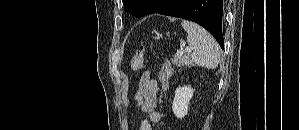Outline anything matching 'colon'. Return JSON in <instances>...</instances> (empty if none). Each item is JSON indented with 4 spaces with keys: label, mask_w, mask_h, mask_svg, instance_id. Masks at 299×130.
<instances>
[{
    "label": "colon",
    "mask_w": 299,
    "mask_h": 130,
    "mask_svg": "<svg viewBox=\"0 0 299 130\" xmlns=\"http://www.w3.org/2000/svg\"><path fill=\"white\" fill-rule=\"evenodd\" d=\"M148 49H149L148 45H142L138 49L136 54L132 57L131 68L134 71L141 69V67L143 66L145 53L147 52ZM171 69H172V67H171L170 62H168V61L164 62L162 71H161V79H162L163 84H165V78L171 72Z\"/></svg>",
    "instance_id": "colon-1"
}]
</instances>
